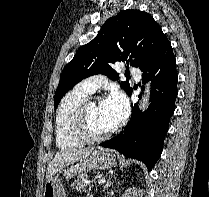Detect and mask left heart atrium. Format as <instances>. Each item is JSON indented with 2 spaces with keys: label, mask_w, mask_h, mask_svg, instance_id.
Returning a JSON list of instances; mask_svg holds the SVG:
<instances>
[{
  "label": "left heart atrium",
  "mask_w": 209,
  "mask_h": 197,
  "mask_svg": "<svg viewBox=\"0 0 209 197\" xmlns=\"http://www.w3.org/2000/svg\"><path fill=\"white\" fill-rule=\"evenodd\" d=\"M102 109L112 128H115L126 118L128 114V103L121 92L115 91L110 93L102 102Z\"/></svg>",
  "instance_id": "1"
}]
</instances>
